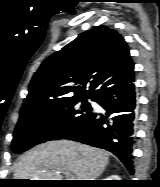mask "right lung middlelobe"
<instances>
[{"mask_svg":"<svg viewBox=\"0 0 160 187\" xmlns=\"http://www.w3.org/2000/svg\"><path fill=\"white\" fill-rule=\"evenodd\" d=\"M75 98L50 107L20 113L14 131L12 149L23 152L48 140L62 139L83 124L92 113L87 99Z\"/></svg>","mask_w":160,"mask_h":187,"instance_id":"right-lung-middle-lobe-1","label":"right lung middle lobe"}]
</instances>
